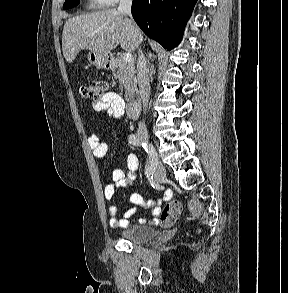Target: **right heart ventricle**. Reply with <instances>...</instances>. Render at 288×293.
I'll list each match as a JSON object with an SVG mask.
<instances>
[{
    "label": "right heart ventricle",
    "mask_w": 288,
    "mask_h": 293,
    "mask_svg": "<svg viewBox=\"0 0 288 293\" xmlns=\"http://www.w3.org/2000/svg\"><path fill=\"white\" fill-rule=\"evenodd\" d=\"M88 5L91 8H101L106 6L107 4L105 3L104 0H88Z\"/></svg>",
    "instance_id": "right-heart-ventricle-1"
}]
</instances>
